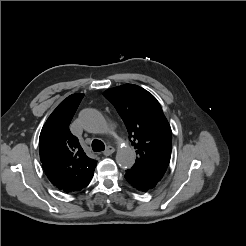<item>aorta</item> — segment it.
<instances>
[{"label":"aorta","instance_id":"aorta-1","mask_svg":"<svg viewBox=\"0 0 246 246\" xmlns=\"http://www.w3.org/2000/svg\"><path fill=\"white\" fill-rule=\"evenodd\" d=\"M81 124L89 132L101 133L104 131L106 122L102 114L95 109H85L80 114ZM135 152L128 145H121L117 149L116 162L119 167L128 169L135 163Z\"/></svg>","mask_w":246,"mask_h":246}]
</instances>
